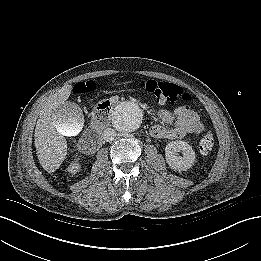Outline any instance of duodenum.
<instances>
[{
    "instance_id": "410a0bca",
    "label": "duodenum",
    "mask_w": 261,
    "mask_h": 261,
    "mask_svg": "<svg viewBox=\"0 0 261 261\" xmlns=\"http://www.w3.org/2000/svg\"><path fill=\"white\" fill-rule=\"evenodd\" d=\"M108 122L95 123L93 128L85 133L79 143V149L84 154H93L102 144L101 131Z\"/></svg>"
}]
</instances>
